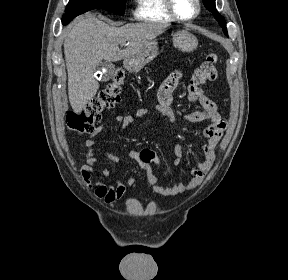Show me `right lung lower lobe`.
Wrapping results in <instances>:
<instances>
[{
    "label": "right lung lower lobe",
    "mask_w": 288,
    "mask_h": 280,
    "mask_svg": "<svg viewBox=\"0 0 288 280\" xmlns=\"http://www.w3.org/2000/svg\"><path fill=\"white\" fill-rule=\"evenodd\" d=\"M73 18H75V17H72L71 19H69V20H67V21H62V24L65 26V25H67Z\"/></svg>",
    "instance_id": "right-lung-lower-lobe-1"
}]
</instances>
